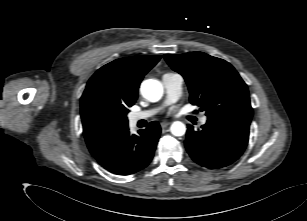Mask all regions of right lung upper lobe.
<instances>
[{
	"label": "right lung upper lobe",
	"instance_id": "right-lung-upper-lobe-1",
	"mask_svg": "<svg viewBox=\"0 0 307 221\" xmlns=\"http://www.w3.org/2000/svg\"><path fill=\"white\" fill-rule=\"evenodd\" d=\"M160 56H133L112 61L101 67L88 81L81 97V119L87 146L95 150L111 136L125 129L121 125L104 128L97 116L102 108L128 110L136 99L143 76Z\"/></svg>",
	"mask_w": 307,
	"mask_h": 221
}]
</instances>
